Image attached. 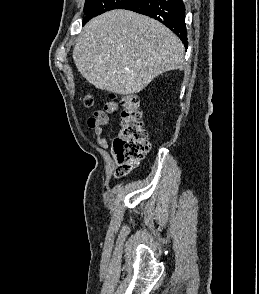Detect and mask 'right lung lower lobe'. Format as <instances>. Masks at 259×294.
<instances>
[{
  "label": "right lung lower lobe",
  "mask_w": 259,
  "mask_h": 294,
  "mask_svg": "<svg viewBox=\"0 0 259 294\" xmlns=\"http://www.w3.org/2000/svg\"><path fill=\"white\" fill-rule=\"evenodd\" d=\"M119 9L135 11L162 22L181 39L187 48L185 6L182 0H132Z\"/></svg>",
  "instance_id": "right-lung-lower-lobe-1"
}]
</instances>
